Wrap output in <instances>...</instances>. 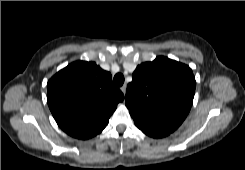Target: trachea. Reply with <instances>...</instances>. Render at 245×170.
<instances>
[{
	"mask_svg": "<svg viewBox=\"0 0 245 170\" xmlns=\"http://www.w3.org/2000/svg\"><path fill=\"white\" fill-rule=\"evenodd\" d=\"M114 83L116 86L120 87L124 83V76L121 73H118L114 76Z\"/></svg>",
	"mask_w": 245,
	"mask_h": 170,
	"instance_id": "trachea-1",
	"label": "trachea"
}]
</instances>
